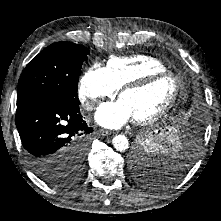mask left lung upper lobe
I'll use <instances>...</instances> for the list:
<instances>
[{
  "instance_id": "1",
  "label": "left lung upper lobe",
  "mask_w": 221,
  "mask_h": 221,
  "mask_svg": "<svg viewBox=\"0 0 221 221\" xmlns=\"http://www.w3.org/2000/svg\"><path fill=\"white\" fill-rule=\"evenodd\" d=\"M133 173L135 178L142 182L143 184H147L149 186L157 185L161 181H166V177H162L158 179L156 176V171H154V165L161 162V158L159 154H154L149 151H144L141 148L135 151L133 154ZM164 183V182H162Z\"/></svg>"
}]
</instances>
